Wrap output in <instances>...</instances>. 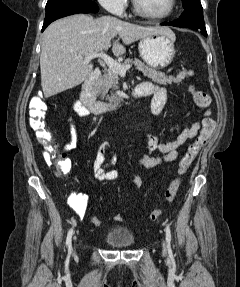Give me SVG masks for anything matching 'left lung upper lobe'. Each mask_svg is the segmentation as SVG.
I'll use <instances>...</instances> for the list:
<instances>
[{
    "mask_svg": "<svg viewBox=\"0 0 240 287\" xmlns=\"http://www.w3.org/2000/svg\"><path fill=\"white\" fill-rule=\"evenodd\" d=\"M195 1H199V0H182L183 7L186 6L187 4H189L191 2H195Z\"/></svg>",
    "mask_w": 240,
    "mask_h": 287,
    "instance_id": "left-lung-upper-lobe-1",
    "label": "left lung upper lobe"
}]
</instances>
